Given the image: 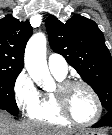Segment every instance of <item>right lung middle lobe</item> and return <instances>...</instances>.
Returning a JSON list of instances; mask_svg holds the SVG:
<instances>
[{"instance_id": "dd1d6c3e", "label": "right lung middle lobe", "mask_w": 112, "mask_h": 135, "mask_svg": "<svg viewBox=\"0 0 112 135\" xmlns=\"http://www.w3.org/2000/svg\"><path fill=\"white\" fill-rule=\"evenodd\" d=\"M19 72L0 71V109L16 116L18 107L14 96V85Z\"/></svg>"}]
</instances>
